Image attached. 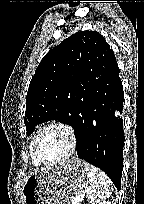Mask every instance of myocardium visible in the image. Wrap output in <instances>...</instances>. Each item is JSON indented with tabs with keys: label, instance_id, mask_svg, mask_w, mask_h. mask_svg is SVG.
I'll list each match as a JSON object with an SVG mask.
<instances>
[{
	"label": "myocardium",
	"instance_id": "obj_1",
	"mask_svg": "<svg viewBox=\"0 0 144 204\" xmlns=\"http://www.w3.org/2000/svg\"><path fill=\"white\" fill-rule=\"evenodd\" d=\"M51 128L61 129L67 134V136L69 138V143H70L69 149L65 155H63L62 157H60L56 160L44 161L38 157L37 152H36V145H37V141H38L40 135L44 131L51 129ZM78 142H79V138H78L77 131L71 124H69L68 122H65V121H60V120L51 121V122L45 124L44 126H42L36 132V134L32 140L31 153H32L33 158L40 165H56V164H60V163L67 161L75 154V152L77 151V148H78Z\"/></svg>",
	"mask_w": 144,
	"mask_h": 204
}]
</instances>
